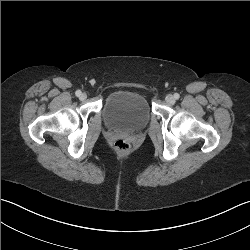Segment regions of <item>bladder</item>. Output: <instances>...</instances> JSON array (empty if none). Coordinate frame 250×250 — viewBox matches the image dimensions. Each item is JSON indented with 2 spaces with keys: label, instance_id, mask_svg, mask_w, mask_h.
<instances>
[{
  "label": "bladder",
  "instance_id": "1",
  "mask_svg": "<svg viewBox=\"0 0 250 250\" xmlns=\"http://www.w3.org/2000/svg\"><path fill=\"white\" fill-rule=\"evenodd\" d=\"M105 123L112 129L135 132L147 126L151 112L146 98L132 91L111 93L103 106Z\"/></svg>",
  "mask_w": 250,
  "mask_h": 250
}]
</instances>
